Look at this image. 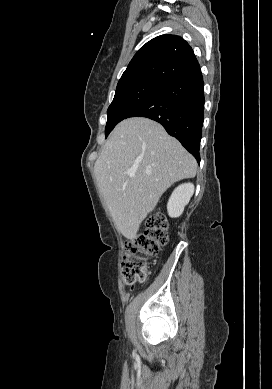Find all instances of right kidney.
<instances>
[{
    "label": "right kidney",
    "mask_w": 272,
    "mask_h": 389,
    "mask_svg": "<svg viewBox=\"0 0 272 389\" xmlns=\"http://www.w3.org/2000/svg\"><path fill=\"white\" fill-rule=\"evenodd\" d=\"M194 193L192 183L179 185L172 193L167 204L168 215L171 218H178L184 211Z\"/></svg>",
    "instance_id": "obj_1"
}]
</instances>
